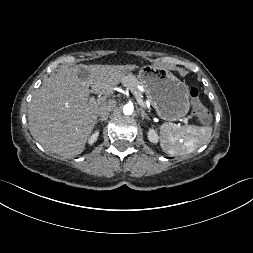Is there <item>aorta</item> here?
<instances>
[{
	"mask_svg": "<svg viewBox=\"0 0 253 253\" xmlns=\"http://www.w3.org/2000/svg\"><path fill=\"white\" fill-rule=\"evenodd\" d=\"M133 111H134V107H133L132 104H126V105H124V107H123V113L125 115H131L133 113Z\"/></svg>",
	"mask_w": 253,
	"mask_h": 253,
	"instance_id": "aorta-1",
	"label": "aorta"
}]
</instances>
